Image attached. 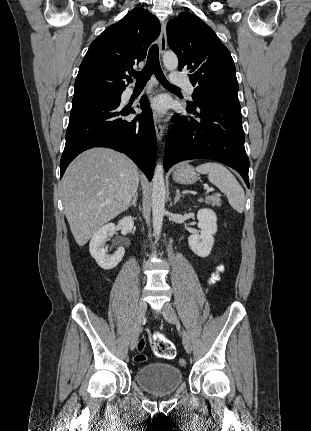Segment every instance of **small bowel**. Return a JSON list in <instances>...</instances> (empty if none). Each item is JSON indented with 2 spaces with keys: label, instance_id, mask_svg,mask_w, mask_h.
I'll return each mask as SVG.
<instances>
[{
  "label": "small bowel",
  "instance_id": "small-bowel-1",
  "mask_svg": "<svg viewBox=\"0 0 311 431\" xmlns=\"http://www.w3.org/2000/svg\"><path fill=\"white\" fill-rule=\"evenodd\" d=\"M223 271V267L222 266H219V267H217V270H216V272L215 273H213L212 274V276L210 277V281L211 282H215V281H217L218 279H219V276H220V273ZM159 336H161L160 334H156L155 335V338L156 337H159ZM162 337V336H161Z\"/></svg>",
  "mask_w": 311,
  "mask_h": 431
}]
</instances>
